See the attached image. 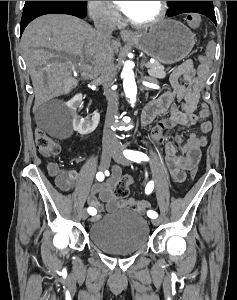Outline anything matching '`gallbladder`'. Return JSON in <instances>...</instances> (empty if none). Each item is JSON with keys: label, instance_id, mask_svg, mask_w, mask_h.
<instances>
[{"label": "gallbladder", "instance_id": "gallbladder-1", "mask_svg": "<svg viewBox=\"0 0 237 300\" xmlns=\"http://www.w3.org/2000/svg\"><path fill=\"white\" fill-rule=\"evenodd\" d=\"M62 81L64 82V83H66L64 86L65 87H61L60 88V93L61 94H69L70 92H71V87H72V84H71V82H72V77L71 76H64L63 78H62Z\"/></svg>", "mask_w": 237, "mask_h": 300}]
</instances>
